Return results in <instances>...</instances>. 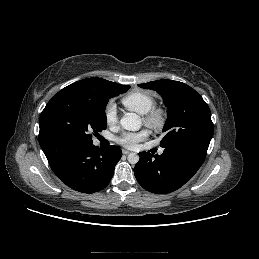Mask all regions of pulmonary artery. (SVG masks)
<instances>
[{
    "instance_id": "e3ab8cb5",
    "label": "pulmonary artery",
    "mask_w": 259,
    "mask_h": 259,
    "mask_svg": "<svg viewBox=\"0 0 259 259\" xmlns=\"http://www.w3.org/2000/svg\"><path fill=\"white\" fill-rule=\"evenodd\" d=\"M162 153H163V149H160V150H159V154H162Z\"/></svg>"
}]
</instances>
